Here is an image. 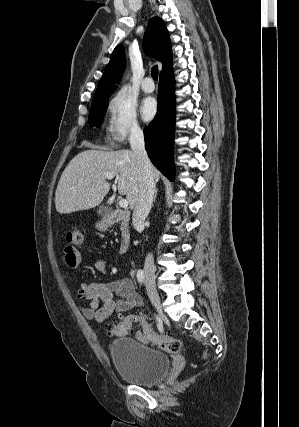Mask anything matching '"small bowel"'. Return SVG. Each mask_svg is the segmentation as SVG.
Listing matches in <instances>:
<instances>
[{
  "mask_svg": "<svg viewBox=\"0 0 299 427\" xmlns=\"http://www.w3.org/2000/svg\"><path fill=\"white\" fill-rule=\"evenodd\" d=\"M63 262L68 270H76L81 263L79 251L72 252L65 249ZM95 267L100 273L107 272V261L98 259ZM76 298L85 303L82 315L88 320L94 319L99 323L106 322L114 312H124L143 305L142 297L128 278L116 279L106 283H90L82 281L76 293ZM136 337L140 340L151 341L137 331Z\"/></svg>",
  "mask_w": 299,
  "mask_h": 427,
  "instance_id": "small-bowel-1",
  "label": "small bowel"
}]
</instances>
